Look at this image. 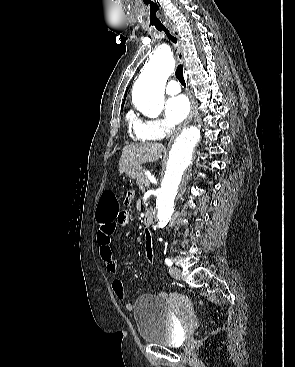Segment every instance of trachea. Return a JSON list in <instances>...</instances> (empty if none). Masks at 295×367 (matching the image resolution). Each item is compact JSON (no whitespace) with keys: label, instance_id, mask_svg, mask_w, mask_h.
Returning a JSON list of instances; mask_svg holds the SVG:
<instances>
[{"label":"trachea","instance_id":"3493384b","mask_svg":"<svg viewBox=\"0 0 295 367\" xmlns=\"http://www.w3.org/2000/svg\"><path fill=\"white\" fill-rule=\"evenodd\" d=\"M156 29L158 30V31H163L166 35H167V37H168V39L169 40H171L173 43H177V39H176V37H174L169 31H168V29L166 28V27H164V26H156ZM176 77H177V79L179 80V82L183 85V86H185L186 85V83H185V79H184V76H183V65H181V64H179L178 66H177V68H176Z\"/></svg>","mask_w":295,"mask_h":367}]
</instances>
